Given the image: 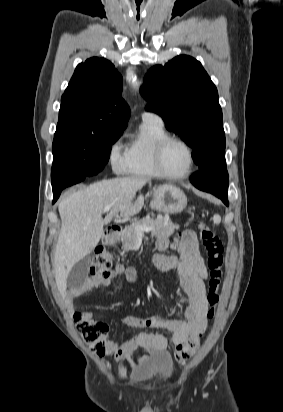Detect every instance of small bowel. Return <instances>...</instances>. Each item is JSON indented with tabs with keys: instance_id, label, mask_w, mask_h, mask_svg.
<instances>
[{
	"instance_id": "1",
	"label": "small bowel",
	"mask_w": 283,
	"mask_h": 412,
	"mask_svg": "<svg viewBox=\"0 0 283 412\" xmlns=\"http://www.w3.org/2000/svg\"><path fill=\"white\" fill-rule=\"evenodd\" d=\"M158 247L165 250L170 247L177 251L179 257H156L155 265L161 270H174L177 275L179 287L184 295L185 310L183 319H157L127 315L122 322L131 329H147L151 327H166L171 336L167 338L159 332H141L138 335L122 342L108 341L107 354L113 356L116 361L126 363L133 374H138L147 365L151 357H163L169 355L171 346L177 347L176 357L183 362L189 358L198 344V335L207 326L208 302L206 299L205 281L207 270L200 256L197 236L192 230H185L169 244L166 239L158 242ZM119 275H124L130 284L138 282V273L132 267L118 265L112 275L105 279L87 280L85 283L71 291L73 297L92 294L100 287H108ZM87 317H92L89 311L82 312ZM195 346L191 348L190 343ZM145 354L137 356V351ZM121 369L119 376H124Z\"/></svg>"
}]
</instances>
